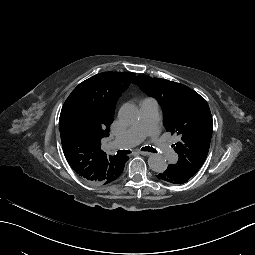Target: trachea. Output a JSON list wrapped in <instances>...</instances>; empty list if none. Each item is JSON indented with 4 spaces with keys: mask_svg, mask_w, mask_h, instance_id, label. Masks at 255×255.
<instances>
[{
    "mask_svg": "<svg viewBox=\"0 0 255 255\" xmlns=\"http://www.w3.org/2000/svg\"><path fill=\"white\" fill-rule=\"evenodd\" d=\"M143 151H146V152H152V153H157L159 152L157 149L153 148V147H150V146H147V147H144L142 148ZM127 154H130V151H127V150H119L117 152V155H127Z\"/></svg>",
    "mask_w": 255,
    "mask_h": 255,
    "instance_id": "obj_1",
    "label": "trachea"
}]
</instances>
